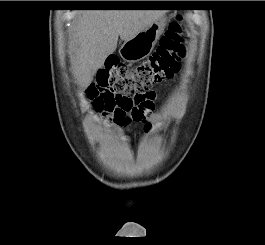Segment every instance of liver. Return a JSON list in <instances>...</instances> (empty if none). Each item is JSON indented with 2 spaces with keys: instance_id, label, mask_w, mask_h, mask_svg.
I'll list each match as a JSON object with an SVG mask.
<instances>
[{
  "instance_id": "obj_1",
  "label": "liver",
  "mask_w": 265,
  "mask_h": 245,
  "mask_svg": "<svg viewBox=\"0 0 265 245\" xmlns=\"http://www.w3.org/2000/svg\"><path fill=\"white\" fill-rule=\"evenodd\" d=\"M164 10H84L74 26L76 57L73 74L82 87L117 48L165 14Z\"/></svg>"
}]
</instances>
